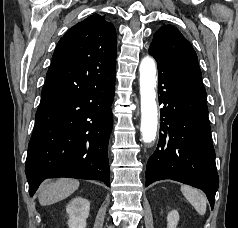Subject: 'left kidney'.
<instances>
[{"label": "left kidney", "instance_id": "1", "mask_svg": "<svg viewBox=\"0 0 238 228\" xmlns=\"http://www.w3.org/2000/svg\"><path fill=\"white\" fill-rule=\"evenodd\" d=\"M179 221V213L172 210L167 215V228H176Z\"/></svg>", "mask_w": 238, "mask_h": 228}]
</instances>
